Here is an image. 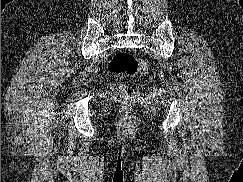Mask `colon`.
Instances as JSON below:
<instances>
[{
    "label": "colon",
    "mask_w": 243,
    "mask_h": 182,
    "mask_svg": "<svg viewBox=\"0 0 243 182\" xmlns=\"http://www.w3.org/2000/svg\"><path fill=\"white\" fill-rule=\"evenodd\" d=\"M148 68V61L137 58L133 54L125 51L116 53L111 58L108 65V69L111 73L121 76H134L144 73ZM113 87L116 93L125 102L131 103L140 99V94L137 90L122 82H115Z\"/></svg>",
    "instance_id": "obj_1"
}]
</instances>
